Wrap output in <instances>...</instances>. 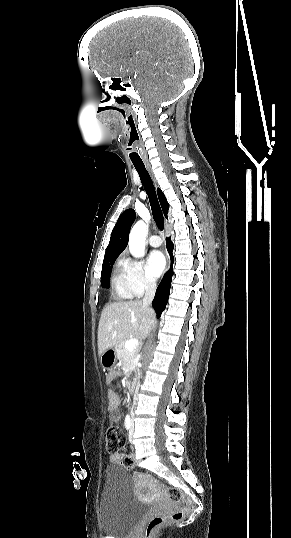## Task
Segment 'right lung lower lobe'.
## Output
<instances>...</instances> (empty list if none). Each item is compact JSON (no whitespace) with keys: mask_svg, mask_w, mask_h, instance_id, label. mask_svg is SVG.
<instances>
[{"mask_svg":"<svg viewBox=\"0 0 291 538\" xmlns=\"http://www.w3.org/2000/svg\"><path fill=\"white\" fill-rule=\"evenodd\" d=\"M166 246H167L168 252L170 254V258H171V268H170L168 274L166 276H164L163 280L161 281L160 285L158 286V288L156 290L154 300L152 302V306L155 309L158 317L161 316V313L165 309V306H166V304L168 302L169 291H170V286H171V280H172V275H173L172 266H173L174 258H173V255H172V250H173L174 245L172 244V242L169 239H166Z\"/></svg>","mask_w":291,"mask_h":538,"instance_id":"obj_1","label":"right lung lower lobe"}]
</instances>
